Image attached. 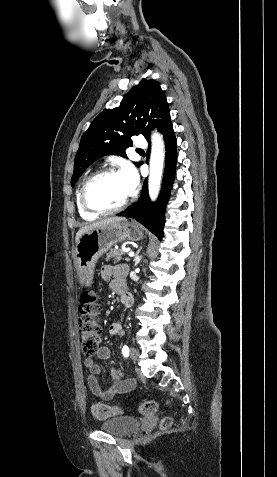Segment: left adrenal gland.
<instances>
[{
  "label": "left adrenal gland",
  "instance_id": "a2214340",
  "mask_svg": "<svg viewBox=\"0 0 277 477\" xmlns=\"http://www.w3.org/2000/svg\"><path fill=\"white\" fill-rule=\"evenodd\" d=\"M139 252H137L135 258H134V261H135V266H137L139 264V262L141 261L142 257L138 255Z\"/></svg>",
  "mask_w": 277,
  "mask_h": 477
}]
</instances>
